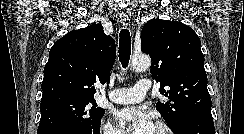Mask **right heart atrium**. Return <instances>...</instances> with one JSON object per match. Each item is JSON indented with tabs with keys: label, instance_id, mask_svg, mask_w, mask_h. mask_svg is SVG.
<instances>
[{
	"label": "right heart atrium",
	"instance_id": "right-heart-atrium-1",
	"mask_svg": "<svg viewBox=\"0 0 244 134\" xmlns=\"http://www.w3.org/2000/svg\"><path fill=\"white\" fill-rule=\"evenodd\" d=\"M102 134H122L110 121H106L102 126Z\"/></svg>",
	"mask_w": 244,
	"mask_h": 134
}]
</instances>
